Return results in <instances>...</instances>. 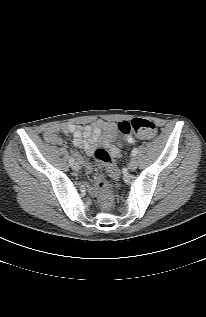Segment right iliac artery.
Segmentation results:
<instances>
[{"label": "right iliac artery", "instance_id": "obj_1", "mask_svg": "<svg viewBox=\"0 0 206 317\" xmlns=\"http://www.w3.org/2000/svg\"><path fill=\"white\" fill-rule=\"evenodd\" d=\"M69 163H70L71 165H73V164L75 163V160H74L73 157H71V158L69 159Z\"/></svg>", "mask_w": 206, "mask_h": 317}]
</instances>
